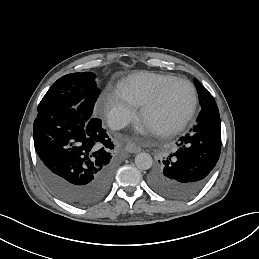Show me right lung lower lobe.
I'll return each mask as SVG.
<instances>
[{
  "mask_svg": "<svg viewBox=\"0 0 259 259\" xmlns=\"http://www.w3.org/2000/svg\"><path fill=\"white\" fill-rule=\"evenodd\" d=\"M33 136L42 176L60 199L84 207L108 192L114 144L99 118H86L74 108L41 111Z\"/></svg>",
  "mask_w": 259,
  "mask_h": 259,
  "instance_id": "98d812e1",
  "label": "right lung lower lobe"
}]
</instances>
